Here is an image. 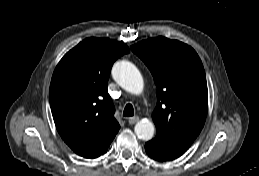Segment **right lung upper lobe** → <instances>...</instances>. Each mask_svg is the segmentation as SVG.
Returning <instances> with one entry per match:
<instances>
[{"mask_svg":"<svg viewBox=\"0 0 259 176\" xmlns=\"http://www.w3.org/2000/svg\"><path fill=\"white\" fill-rule=\"evenodd\" d=\"M130 50L123 42L86 38L54 70L49 100L56 128L78 155L96 158L120 129L107 91L113 63Z\"/></svg>","mask_w":259,"mask_h":176,"instance_id":"1","label":"right lung upper lobe"}]
</instances>
